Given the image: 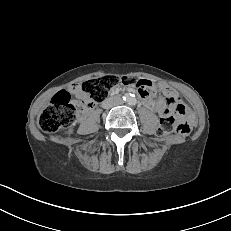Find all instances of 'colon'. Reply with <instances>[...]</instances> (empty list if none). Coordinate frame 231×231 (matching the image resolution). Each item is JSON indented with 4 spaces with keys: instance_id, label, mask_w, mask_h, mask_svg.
Segmentation results:
<instances>
[{
    "instance_id": "obj_1",
    "label": "colon",
    "mask_w": 231,
    "mask_h": 231,
    "mask_svg": "<svg viewBox=\"0 0 231 231\" xmlns=\"http://www.w3.org/2000/svg\"><path fill=\"white\" fill-rule=\"evenodd\" d=\"M120 85L133 88L144 97L152 93L151 82L130 76L106 75L88 80L81 85L84 94L82 99H72L66 91L56 93L48 107L39 116L40 128L45 132L52 133L71 126L79 109L93 107L94 104L104 100L114 87ZM166 102L168 105L176 104V101L169 97H166ZM188 118L189 111L186 106L176 104L171 113L162 115L158 133L166 135L175 132L179 135H187L191 131Z\"/></svg>"
}]
</instances>
